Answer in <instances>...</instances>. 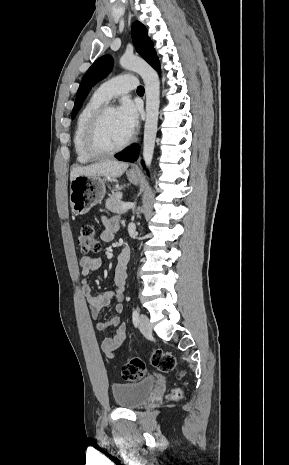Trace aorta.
Returning <instances> with one entry per match:
<instances>
[{
    "label": "aorta",
    "instance_id": "1",
    "mask_svg": "<svg viewBox=\"0 0 289 465\" xmlns=\"http://www.w3.org/2000/svg\"><path fill=\"white\" fill-rule=\"evenodd\" d=\"M120 65L138 73L145 84L146 122L144 127L143 159L147 168L150 167L157 133V123L160 104V82L157 72L144 60L134 55H123Z\"/></svg>",
    "mask_w": 289,
    "mask_h": 465
}]
</instances>
